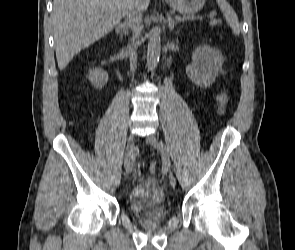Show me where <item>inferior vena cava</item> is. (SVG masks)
<instances>
[{"instance_id": "1", "label": "inferior vena cava", "mask_w": 295, "mask_h": 250, "mask_svg": "<svg viewBox=\"0 0 295 250\" xmlns=\"http://www.w3.org/2000/svg\"><path fill=\"white\" fill-rule=\"evenodd\" d=\"M125 16V25L132 30V42L128 48L129 58H130V68L134 72L137 62V53L136 49L139 44V37L142 27V13L138 6L137 0H128L126 11L124 12Z\"/></svg>"}]
</instances>
